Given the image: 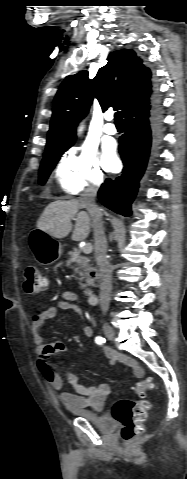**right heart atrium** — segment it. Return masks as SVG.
I'll use <instances>...</instances> for the list:
<instances>
[{"instance_id": "obj_1", "label": "right heart atrium", "mask_w": 187, "mask_h": 479, "mask_svg": "<svg viewBox=\"0 0 187 479\" xmlns=\"http://www.w3.org/2000/svg\"><path fill=\"white\" fill-rule=\"evenodd\" d=\"M55 177L61 192L68 196L96 189L105 179L95 151L88 147L67 151L56 165Z\"/></svg>"}]
</instances>
